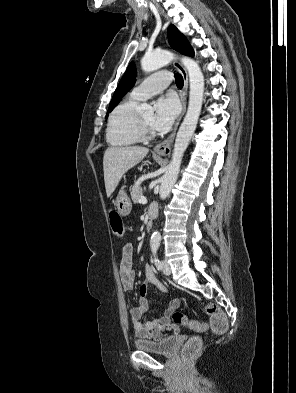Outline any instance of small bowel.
<instances>
[{
	"instance_id": "obj_1",
	"label": "small bowel",
	"mask_w": 296,
	"mask_h": 393,
	"mask_svg": "<svg viewBox=\"0 0 296 393\" xmlns=\"http://www.w3.org/2000/svg\"><path fill=\"white\" fill-rule=\"evenodd\" d=\"M118 275L125 291H132L134 285V266H133V246L127 243L122 249V257L118 266ZM147 284H151L160 291L166 293V286L154 274L150 265L145 267V278L140 286L137 296V305L130 309V318L133 324L135 334L139 338L159 339L166 335L167 331L178 332V326L171 323V315L179 307L178 298H172L168 301L167 307L163 314L154 317L149 321L143 322L142 317L150 310V303L147 296Z\"/></svg>"
}]
</instances>
